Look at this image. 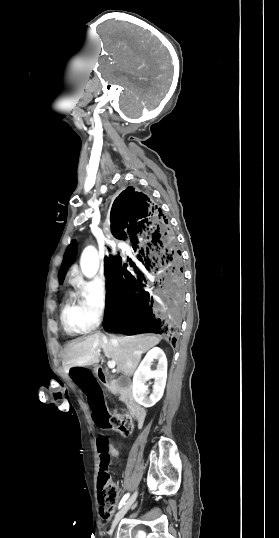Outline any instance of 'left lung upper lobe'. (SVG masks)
<instances>
[{
	"instance_id": "left-lung-upper-lobe-1",
	"label": "left lung upper lobe",
	"mask_w": 279,
	"mask_h": 538,
	"mask_svg": "<svg viewBox=\"0 0 279 538\" xmlns=\"http://www.w3.org/2000/svg\"><path fill=\"white\" fill-rule=\"evenodd\" d=\"M77 253V243L76 241H73L69 247L66 249V252L64 254L63 263L61 266V270L59 272V279L60 284H62L64 277L66 275L67 269L69 266L73 263Z\"/></svg>"
}]
</instances>
